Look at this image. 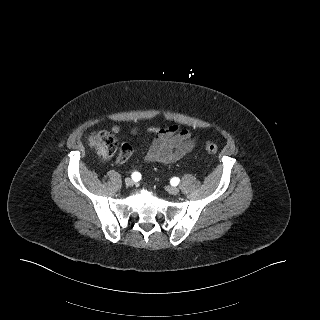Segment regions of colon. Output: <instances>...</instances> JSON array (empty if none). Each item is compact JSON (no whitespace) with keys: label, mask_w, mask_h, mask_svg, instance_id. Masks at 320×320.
I'll return each mask as SVG.
<instances>
[{"label":"colon","mask_w":320,"mask_h":320,"mask_svg":"<svg viewBox=\"0 0 320 320\" xmlns=\"http://www.w3.org/2000/svg\"><path fill=\"white\" fill-rule=\"evenodd\" d=\"M92 144L98 151V153L102 157H111L115 154L118 148V143L113 134L107 131H101L95 134L92 137ZM205 150L212 155H215L218 152V146L212 142L207 141L205 143ZM127 159V154L125 153L124 149L121 148L120 152L118 153L117 160L119 162H123Z\"/></svg>","instance_id":"colon-1"}]
</instances>
